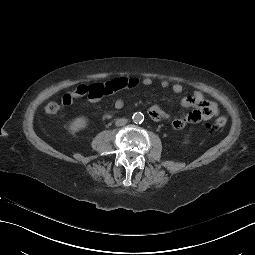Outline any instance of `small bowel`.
Listing matches in <instances>:
<instances>
[{
  "mask_svg": "<svg viewBox=\"0 0 255 255\" xmlns=\"http://www.w3.org/2000/svg\"><path fill=\"white\" fill-rule=\"evenodd\" d=\"M153 83L150 77L137 78V77H119L104 83H90L79 84L73 90L69 91L62 97L63 104H70L75 99L87 97L91 102H98L103 97L110 95L122 89H133L140 86H150ZM160 86L168 88L170 82L168 80H161ZM172 90L174 93L179 94L183 91L181 83H173ZM182 106L186 108H193L185 117L176 118L172 121L174 129H183L189 123H198L206 121L218 114V106L215 102L207 100L203 97L202 93L196 91L189 96H185L181 101ZM124 102L121 98L114 101V107L121 109ZM149 115L152 119L158 120L164 116V111L157 105L150 107Z\"/></svg>",
  "mask_w": 255,
  "mask_h": 255,
  "instance_id": "c3829d8e",
  "label": "small bowel"
}]
</instances>
